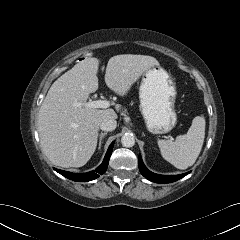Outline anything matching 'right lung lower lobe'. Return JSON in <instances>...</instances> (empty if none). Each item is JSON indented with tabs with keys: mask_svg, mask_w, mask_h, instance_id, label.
Listing matches in <instances>:
<instances>
[{
	"mask_svg": "<svg viewBox=\"0 0 240 240\" xmlns=\"http://www.w3.org/2000/svg\"><path fill=\"white\" fill-rule=\"evenodd\" d=\"M113 145H114V142H112L111 145L109 146L108 151L105 155V158H104L102 164L98 168H96V170H93V171L87 172V173L78 174V173H71L68 171L59 170L56 168H54V169L58 173L63 175L64 177H66L70 180H73V181L87 182V181L94 180V179L98 178L99 175H102L106 171V169L108 167L110 156L112 154Z\"/></svg>",
	"mask_w": 240,
	"mask_h": 240,
	"instance_id": "98d812e1",
	"label": "right lung lower lobe"
}]
</instances>
